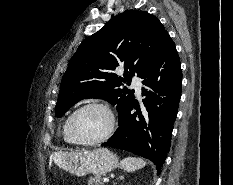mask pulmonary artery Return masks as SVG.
<instances>
[{
    "label": "pulmonary artery",
    "mask_w": 233,
    "mask_h": 185,
    "mask_svg": "<svg viewBox=\"0 0 233 185\" xmlns=\"http://www.w3.org/2000/svg\"><path fill=\"white\" fill-rule=\"evenodd\" d=\"M131 85L135 89L137 95H140L141 94V86H142L141 79L134 76L131 80Z\"/></svg>",
    "instance_id": "obj_1"
}]
</instances>
